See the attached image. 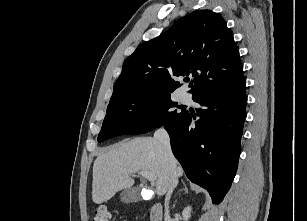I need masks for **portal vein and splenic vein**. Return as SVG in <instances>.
<instances>
[{
  "label": "portal vein and splenic vein",
  "instance_id": "18ae733b",
  "mask_svg": "<svg viewBox=\"0 0 307 221\" xmlns=\"http://www.w3.org/2000/svg\"><path fill=\"white\" fill-rule=\"evenodd\" d=\"M141 176L145 177L150 182H154L156 180V176L154 173L148 172V171H140L138 172Z\"/></svg>",
  "mask_w": 307,
  "mask_h": 221
}]
</instances>
